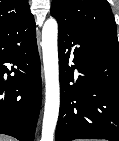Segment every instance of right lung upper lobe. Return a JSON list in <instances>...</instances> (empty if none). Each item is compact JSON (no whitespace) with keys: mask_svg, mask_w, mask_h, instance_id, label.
<instances>
[{"mask_svg":"<svg viewBox=\"0 0 119 141\" xmlns=\"http://www.w3.org/2000/svg\"><path fill=\"white\" fill-rule=\"evenodd\" d=\"M33 19L28 0L0 1V34L13 27L26 24Z\"/></svg>","mask_w":119,"mask_h":141,"instance_id":"1","label":"right lung upper lobe"}]
</instances>
